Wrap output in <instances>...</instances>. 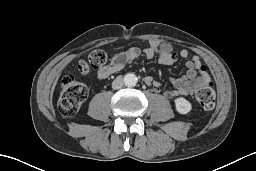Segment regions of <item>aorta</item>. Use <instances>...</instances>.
I'll list each match as a JSON object with an SVG mask.
<instances>
[{
  "label": "aorta",
  "instance_id": "762f6f07",
  "mask_svg": "<svg viewBox=\"0 0 256 171\" xmlns=\"http://www.w3.org/2000/svg\"><path fill=\"white\" fill-rule=\"evenodd\" d=\"M123 80L126 86H135L137 84V77L133 73H127Z\"/></svg>",
  "mask_w": 256,
  "mask_h": 171
}]
</instances>
